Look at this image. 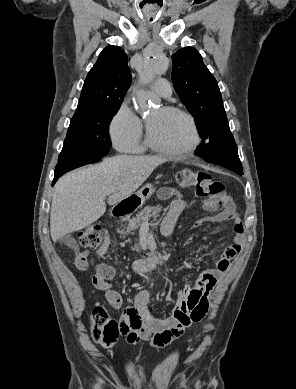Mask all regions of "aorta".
<instances>
[{
    "label": "aorta",
    "mask_w": 296,
    "mask_h": 389,
    "mask_svg": "<svg viewBox=\"0 0 296 389\" xmlns=\"http://www.w3.org/2000/svg\"><path fill=\"white\" fill-rule=\"evenodd\" d=\"M169 66L168 57L161 51L150 53L139 69V88L135 92V101L140 110L149 108L152 97L146 87L158 76L165 74Z\"/></svg>",
    "instance_id": "obj_1"
}]
</instances>
